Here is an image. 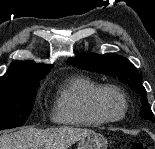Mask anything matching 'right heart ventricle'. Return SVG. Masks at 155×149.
Instances as JSON below:
<instances>
[{"mask_svg":"<svg viewBox=\"0 0 155 149\" xmlns=\"http://www.w3.org/2000/svg\"><path fill=\"white\" fill-rule=\"evenodd\" d=\"M99 85L83 76L70 77L58 90L53 107L52 119L62 125L96 127L105 125L94 110L92 97Z\"/></svg>","mask_w":155,"mask_h":149,"instance_id":"e07e8e85","label":"right heart ventricle"}]
</instances>
